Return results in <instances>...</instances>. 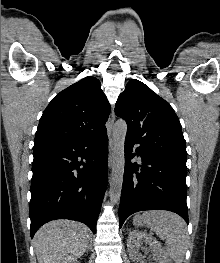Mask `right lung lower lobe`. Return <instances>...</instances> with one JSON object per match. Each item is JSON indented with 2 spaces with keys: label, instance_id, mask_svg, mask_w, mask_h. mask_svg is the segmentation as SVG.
<instances>
[{
  "label": "right lung lower lobe",
  "instance_id": "right-lung-lower-lobe-1",
  "mask_svg": "<svg viewBox=\"0 0 220 263\" xmlns=\"http://www.w3.org/2000/svg\"><path fill=\"white\" fill-rule=\"evenodd\" d=\"M31 238L46 222L70 219L96 233L108 179L107 131L96 136L33 148Z\"/></svg>",
  "mask_w": 220,
  "mask_h": 263
}]
</instances>
